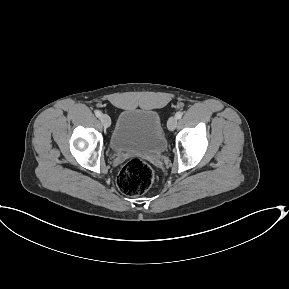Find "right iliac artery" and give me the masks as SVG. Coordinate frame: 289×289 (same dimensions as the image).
Instances as JSON below:
<instances>
[{
	"instance_id": "obj_1",
	"label": "right iliac artery",
	"mask_w": 289,
	"mask_h": 289,
	"mask_svg": "<svg viewBox=\"0 0 289 289\" xmlns=\"http://www.w3.org/2000/svg\"><path fill=\"white\" fill-rule=\"evenodd\" d=\"M95 115H96L97 117H101V112H100L99 110H96V111H95Z\"/></svg>"
}]
</instances>
